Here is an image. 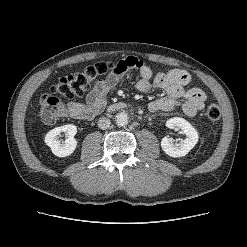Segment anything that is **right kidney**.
Instances as JSON below:
<instances>
[{"instance_id":"right-kidney-1","label":"right kidney","mask_w":247,"mask_h":247,"mask_svg":"<svg viewBox=\"0 0 247 247\" xmlns=\"http://www.w3.org/2000/svg\"><path fill=\"white\" fill-rule=\"evenodd\" d=\"M64 132L67 136L63 144L58 140V135ZM77 133L75 125H63L49 131L45 136V143L51 148L52 153L57 157H66L71 155L77 146V141L74 136Z\"/></svg>"}]
</instances>
